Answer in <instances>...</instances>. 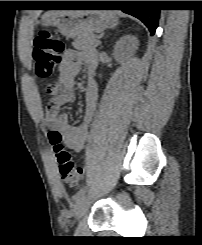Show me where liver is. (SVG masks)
Here are the masks:
<instances>
[{"instance_id": "6515ba94", "label": "liver", "mask_w": 202, "mask_h": 245, "mask_svg": "<svg viewBox=\"0 0 202 245\" xmlns=\"http://www.w3.org/2000/svg\"><path fill=\"white\" fill-rule=\"evenodd\" d=\"M40 13H41V11H38V12H37V16H38Z\"/></svg>"}]
</instances>
